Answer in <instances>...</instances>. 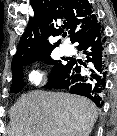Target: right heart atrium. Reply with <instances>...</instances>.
Listing matches in <instances>:
<instances>
[{"instance_id": "right-heart-atrium-1", "label": "right heart atrium", "mask_w": 117, "mask_h": 136, "mask_svg": "<svg viewBox=\"0 0 117 136\" xmlns=\"http://www.w3.org/2000/svg\"><path fill=\"white\" fill-rule=\"evenodd\" d=\"M44 80V75L40 71L34 70L28 74V81L34 85H40Z\"/></svg>"}]
</instances>
